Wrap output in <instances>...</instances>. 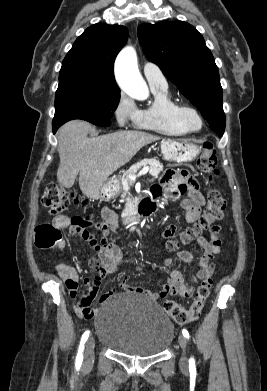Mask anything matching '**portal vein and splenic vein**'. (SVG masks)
Returning <instances> with one entry per match:
<instances>
[{
  "mask_svg": "<svg viewBox=\"0 0 267 391\" xmlns=\"http://www.w3.org/2000/svg\"><path fill=\"white\" fill-rule=\"evenodd\" d=\"M148 171H149V167H146V168H144L142 171H140V172L138 173V175H130L129 178H130L131 180H135L138 176H142V175L146 174Z\"/></svg>",
  "mask_w": 267,
  "mask_h": 391,
  "instance_id": "18ae733b",
  "label": "portal vein and splenic vein"
}]
</instances>
